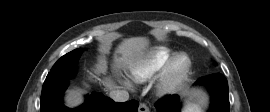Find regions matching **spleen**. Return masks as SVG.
Returning a JSON list of instances; mask_svg holds the SVG:
<instances>
[{"instance_id":"spleen-1","label":"spleen","mask_w":270,"mask_h":112,"mask_svg":"<svg viewBox=\"0 0 270 112\" xmlns=\"http://www.w3.org/2000/svg\"><path fill=\"white\" fill-rule=\"evenodd\" d=\"M203 103L200 101L187 100L182 112H203Z\"/></svg>"}]
</instances>
